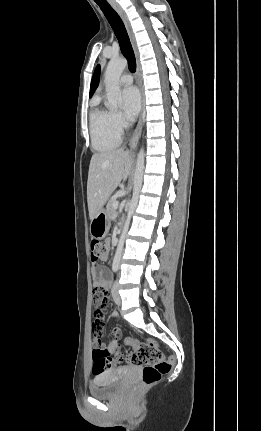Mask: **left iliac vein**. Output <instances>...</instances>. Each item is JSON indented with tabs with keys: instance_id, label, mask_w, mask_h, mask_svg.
Listing matches in <instances>:
<instances>
[{
	"instance_id": "obj_1",
	"label": "left iliac vein",
	"mask_w": 261,
	"mask_h": 431,
	"mask_svg": "<svg viewBox=\"0 0 261 431\" xmlns=\"http://www.w3.org/2000/svg\"><path fill=\"white\" fill-rule=\"evenodd\" d=\"M112 297H113L114 302L117 305H121L122 300H121V297L119 294V283H118V281H115V283L113 284Z\"/></svg>"
}]
</instances>
